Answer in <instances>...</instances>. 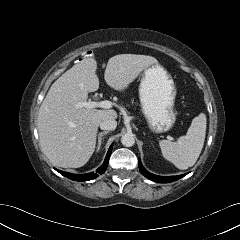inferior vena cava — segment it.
Instances as JSON below:
<instances>
[{
	"label": "inferior vena cava",
	"instance_id": "obj_1",
	"mask_svg": "<svg viewBox=\"0 0 240 240\" xmlns=\"http://www.w3.org/2000/svg\"><path fill=\"white\" fill-rule=\"evenodd\" d=\"M117 127V122L114 119H105L100 123L102 130L112 131Z\"/></svg>",
	"mask_w": 240,
	"mask_h": 240
}]
</instances>
